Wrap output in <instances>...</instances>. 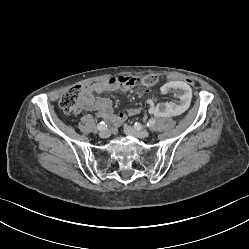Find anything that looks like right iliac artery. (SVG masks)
Wrapping results in <instances>:
<instances>
[{
  "mask_svg": "<svg viewBox=\"0 0 249 249\" xmlns=\"http://www.w3.org/2000/svg\"><path fill=\"white\" fill-rule=\"evenodd\" d=\"M105 127H106V124L103 121L98 123V125H97L98 130H103V129H105Z\"/></svg>",
  "mask_w": 249,
  "mask_h": 249,
  "instance_id": "82829eb1",
  "label": "right iliac artery"
}]
</instances>
